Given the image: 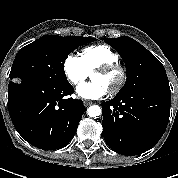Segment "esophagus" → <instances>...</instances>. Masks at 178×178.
I'll list each match as a JSON object with an SVG mask.
<instances>
[{
	"label": "esophagus",
	"mask_w": 178,
	"mask_h": 178,
	"mask_svg": "<svg viewBox=\"0 0 178 178\" xmlns=\"http://www.w3.org/2000/svg\"><path fill=\"white\" fill-rule=\"evenodd\" d=\"M91 104H92L91 101H89V100H84V105H85V106H89V105H91Z\"/></svg>",
	"instance_id": "1"
}]
</instances>
